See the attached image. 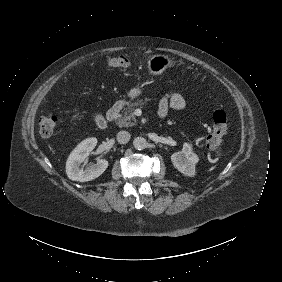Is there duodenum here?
I'll return each mask as SVG.
<instances>
[{
	"instance_id": "410a0bca",
	"label": "duodenum",
	"mask_w": 282,
	"mask_h": 282,
	"mask_svg": "<svg viewBox=\"0 0 282 282\" xmlns=\"http://www.w3.org/2000/svg\"><path fill=\"white\" fill-rule=\"evenodd\" d=\"M121 104L120 103H115L109 110H108V112H107V114H106V117H105V122H113L116 118H117V116H118V114H119V112H120V110H121Z\"/></svg>"
}]
</instances>
